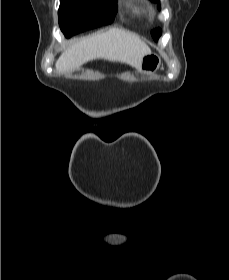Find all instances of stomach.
Listing matches in <instances>:
<instances>
[{"label":"stomach","instance_id":"1","mask_svg":"<svg viewBox=\"0 0 229 280\" xmlns=\"http://www.w3.org/2000/svg\"><path fill=\"white\" fill-rule=\"evenodd\" d=\"M161 65V58L155 54L150 53L142 58L140 71L147 74L155 73Z\"/></svg>","mask_w":229,"mask_h":280}]
</instances>
